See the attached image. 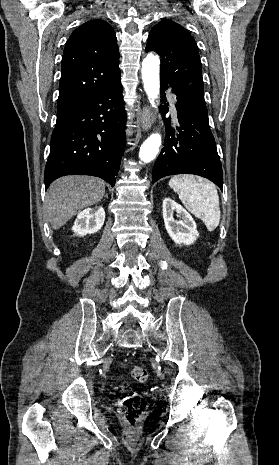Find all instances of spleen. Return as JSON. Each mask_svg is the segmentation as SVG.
Instances as JSON below:
<instances>
[{
  "label": "spleen",
  "mask_w": 279,
  "mask_h": 465,
  "mask_svg": "<svg viewBox=\"0 0 279 465\" xmlns=\"http://www.w3.org/2000/svg\"><path fill=\"white\" fill-rule=\"evenodd\" d=\"M169 185L186 208L200 218L209 231L217 228L221 212L218 192L213 183L191 175H180L172 177Z\"/></svg>",
  "instance_id": "3e777b00"
}]
</instances>
